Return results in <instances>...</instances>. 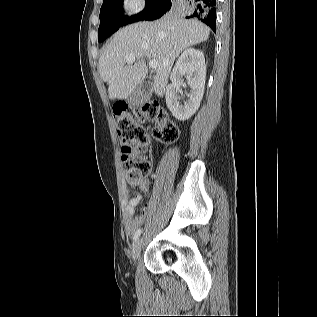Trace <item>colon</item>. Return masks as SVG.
Masks as SVG:
<instances>
[{
  "label": "colon",
  "instance_id": "5ec220e1",
  "mask_svg": "<svg viewBox=\"0 0 317 317\" xmlns=\"http://www.w3.org/2000/svg\"><path fill=\"white\" fill-rule=\"evenodd\" d=\"M114 114L122 143V167L128 181L134 184L145 178L151 169L145 157L148 135L143 125L144 121H153L152 134L163 143L176 140L178 128L167 112L154 103L146 104L141 112H131L125 104H118L114 108Z\"/></svg>",
  "mask_w": 317,
  "mask_h": 317
}]
</instances>
